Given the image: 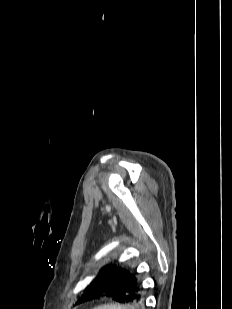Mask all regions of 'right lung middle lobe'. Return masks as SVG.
<instances>
[{"label":"right lung middle lobe","mask_w":232,"mask_h":309,"mask_svg":"<svg viewBox=\"0 0 232 309\" xmlns=\"http://www.w3.org/2000/svg\"><path fill=\"white\" fill-rule=\"evenodd\" d=\"M126 277H133L132 274L130 273H119L114 270H105L101 271L99 275L93 280V282L89 285V287L85 290L86 294H83L80 299L79 303L84 302L87 300L88 296L87 293L91 289L95 287H101L105 285H111L113 284L116 280L126 278Z\"/></svg>","instance_id":"dd1d6c3e"}]
</instances>
